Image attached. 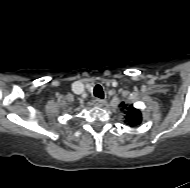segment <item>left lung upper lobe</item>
<instances>
[{
  "instance_id": "1",
  "label": "left lung upper lobe",
  "mask_w": 190,
  "mask_h": 188,
  "mask_svg": "<svg viewBox=\"0 0 190 188\" xmlns=\"http://www.w3.org/2000/svg\"><path fill=\"white\" fill-rule=\"evenodd\" d=\"M121 109L126 113L125 122L131 127L138 126L142 122V115L139 109L133 107V105H125L123 102L120 104Z\"/></svg>"
}]
</instances>
